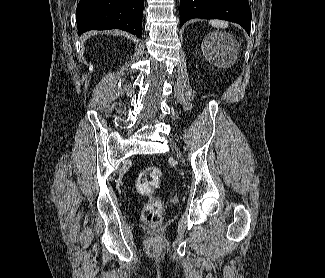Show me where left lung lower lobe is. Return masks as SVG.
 Listing matches in <instances>:
<instances>
[{
  "label": "left lung lower lobe",
  "instance_id": "obj_1",
  "mask_svg": "<svg viewBox=\"0 0 325 278\" xmlns=\"http://www.w3.org/2000/svg\"><path fill=\"white\" fill-rule=\"evenodd\" d=\"M193 18L235 22L250 35L252 15L248 0H181L180 27Z\"/></svg>",
  "mask_w": 325,
  "mask_h": 278
}]
</instances>
